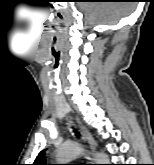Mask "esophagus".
<instances>
[{
	"instance_id": "obj_1",
	"label": "esophagus",
	"mask_w": 154,
	"mask_h": 165,
	"mask_svg": "<svg viewBox=\"0 0 154 165\" xmlns=\"http://www.w3.org/2000/svg\"><path fill=\"white\" fill-rule=\"evenodd\" d=\"M77 121L82 129V132L86 138V140L88 141L90 148L92 150V152L94 153L96 150V142L94 140V138L92 137L91 133L89 132V130L81 123V121L77 118Z\"/></svg>"
}]
</instances>
